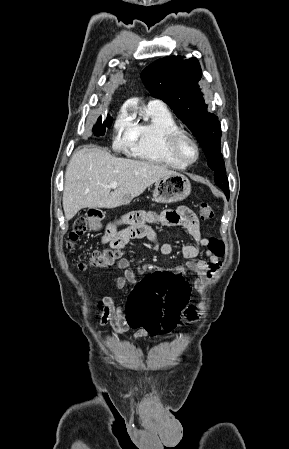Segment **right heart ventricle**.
<instances>
[{"mask_svg": "<svg viewBox=\"0 0 289 449\" xmlns=\"http://www.w3.org/2000/svg\"><path fill=\"white\" fill-rule=\"evenodd\" d=\"M178 129L176 120L164 105L148 104L141 118L134 122L132 155L174 169H185L187 165L176 160L167 147L168 135Z\"/></svg>", "mask_w": 289, "mask_h": 449, "instance_id": "e07e8e85", "label": "right heart ventricle"}]
</instances>
